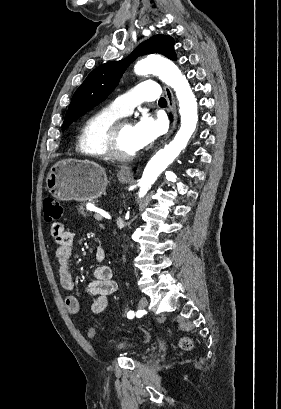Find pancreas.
Here are the masks:
<instances>
[{"instance_id":"pancreas-1","label":"pancreas","mask_w":281,"mask_h":409,"mask_svg":"<svg viewBox=\"0 0 281 409\" xmlns=\"http://www.w3.org/2000/svg\"><path fill=\"white\" fill-rule=\"evenodd\" d=\"M78 211H79L80 215H84V217H87V215L89 213V211H87V209H85V205H83V202H82V205H79Z\"/></svg>"}]
</instances>
